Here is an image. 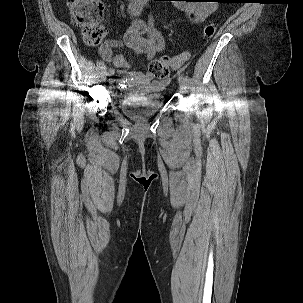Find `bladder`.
Wrapping results in <instances>:
<instances>
[{"instance_id": "bladder-1", "label": "bladder", "mask_w": 303, "mask_h": 303, "mask_svg": "<svg viewBox=\"0 0 303 303\" xmlns=\"http://www.w3.org/2000/svg\"><path fill=\"white\" fill-rule=\"evenodd\" d=\"M163 105L162 95L154 94L144 98L125 99L122 108L125 115L133 120H142L157 112Z\"/></svg>"}]
</instances>
